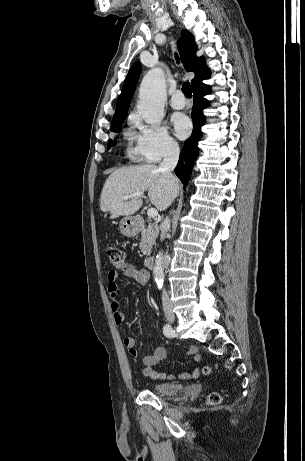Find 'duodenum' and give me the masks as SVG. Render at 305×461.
Segmentation results:
<instances>
[{
	"instance_id": "1",
	"label": "duodenum",
	"mask_w": 305,
	"mask_h": 461,
	"mask_svg": "<svg viewBox=\"0 0 305 461\" xmlns=\"http://www.w3.org/2000/svg\"><path fill=\"white\" fill-rule=\"evenodd\" d=\"M137 222L140 224L139 220ZM154 262H155L154 257L152 256L146 257L144 260L145 267L148 269H152L154 267Z\"/></svg>"
}]
</instances>
